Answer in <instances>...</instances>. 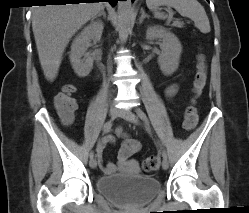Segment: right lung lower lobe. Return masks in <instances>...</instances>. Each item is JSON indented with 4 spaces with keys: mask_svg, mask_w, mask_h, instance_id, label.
Instances as JSON below:
<instances>
[{
    "mask_svg": "<svg viewBox=\"0 0 249 213\" xmlns=\"http://www.w3.org/2000/svg\"><path fill=\"white\" fill-rule=\"evenodd\" d=\"M43 3H54V4H66V3H78L84 0H44ZM87 1H94V0H87ZM99 1V0H96ZM100 1H107L109 2L113 7L116 5L118 0H100ZM93 3V2H92Z\"/></svg>",
    "mask_w": 249,
    "mask_h": 213,
    "instance_id": "1",
    "label": "right lung lower lobe"
}]
</instances>
